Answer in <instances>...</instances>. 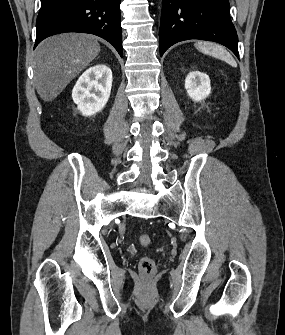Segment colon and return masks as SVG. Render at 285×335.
Here are the masks:
<instances>
[{
  "mask_svg": "<svg viewBox=\"0 0 285 335\" xmlns=\"http://www.w3.org/2000/svg\"><path fill=\"white\" fill-rule=\"evenodd\" d=\"M138 240L142 246L150 244V236L148 234L139 235ZM139 270L142 276H152L156 272V264L152 258L145 256L139 262Z\"/></svg>",
  "mask_w": 285,
  "mask_h": 335,
  "instance_id": "1",
  "label": "colon"
}]
</instances>
